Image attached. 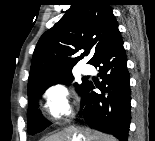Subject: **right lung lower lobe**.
<instances>
[{
  "label": "right lung lower lobe",
  "instance_id": "1",
  "mask_svg": "<svg viewBox=\"0 0 155 141\" xmlns=\"http://www.w3.org/2000/svg\"><path fill=\"white\" fill-rule=\"evenodd\" d=\"M99 67L101 85L87 81L80 92L88 125L126 141L130 125V77L123 40L118 32L92 63ZM95 86L101 93L94 92Z\"/></svg>",
  "mask_w": 155,
  "mask_h": 141
}]
</instances>
